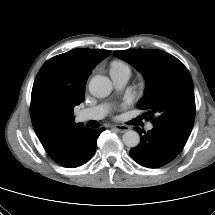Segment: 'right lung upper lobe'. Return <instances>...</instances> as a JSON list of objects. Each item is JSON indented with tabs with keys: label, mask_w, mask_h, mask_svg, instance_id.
Returning <instances> with one entry per match:
<instances>
[{
	"label": "right lung upper lobe",
	"mask_w": 215,
	"mask_h": 215,
	"mask_svg": "<svg viewBox=\"0 0 215 215\" xmlns=\"http://www.w3.org/2000/svg\"><path fill=\"white\" fill-rule=\"evenodd\" d=\"M110 50L73 49L44 63L31 94V120L41 144L54 160H61L75 134L84 127L74 121V106L84 100L92 69Z\"/></svg>",
	"instance_id": "1"
}]
</instances>
